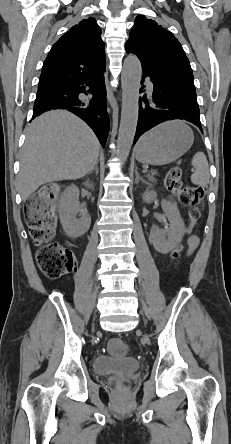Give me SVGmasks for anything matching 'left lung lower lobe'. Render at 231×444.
Here are the masks:
<instances>
[{
  "instance_id": "left-lung-lower-lobe-1",
  "label": "left lung lower lobe",
  "mask_w": 231,
  "mask_h": 444,
  "mask_svg": "<svg viewBox=\"0 0 231 444\" xmlns=\"http://www.w3.org/2000/svg\"><path fill=\"white\" fill-rule=\"evenodd\" d=\"M145 77H150L153 91L149 96L145 94L139 98V117L134 144L144 132L167 120L184 119L202 131L195 90L173 84L172 79L158 73L143 71V78Z\"/></svg>"
}]
</instances>
